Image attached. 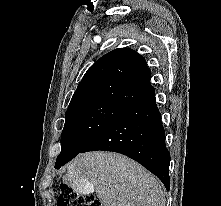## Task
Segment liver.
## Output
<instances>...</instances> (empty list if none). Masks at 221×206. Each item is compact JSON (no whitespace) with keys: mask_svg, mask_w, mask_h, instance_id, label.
I'll return each mask as SVG.
<instances>
[{"mask_svg":"<svg viewBox=\"0 0 221 206\" xmlns=\"http://www.w3.org/2000/svg\"><path fill=\"white\" fill-rule=\"evenodd\" d=\"M63 181L77 192L84 190L79 193L94 190L102 206H165L158 180L118 153L97 151L77 156L67 166Z\"/></svg>","mask_w":221,"mask_h":206,"instance_id":"liver-1","label":"liver"}]
</instances>
